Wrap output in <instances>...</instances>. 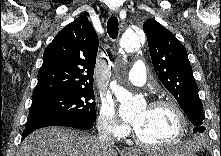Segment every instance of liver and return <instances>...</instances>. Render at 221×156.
Segmentation results:
<instances>
[{
	"instance_id": "1",
	"label": "liver",
	"mask_w": 221,
	"mask_h": 156,
	"mask_svg": "<svg viewBox=\"0 0 221 156\" xmlns=\"http://www.w3.org/2000/svg\"><path fill=\"white\" fill-rule=\"evenodd\" d=\"M194 150V145H186ZM19 156H118L113 148L102 147L96 137L75 129L48 127L26 137Z\"/></svg>"
}]
</instances>
